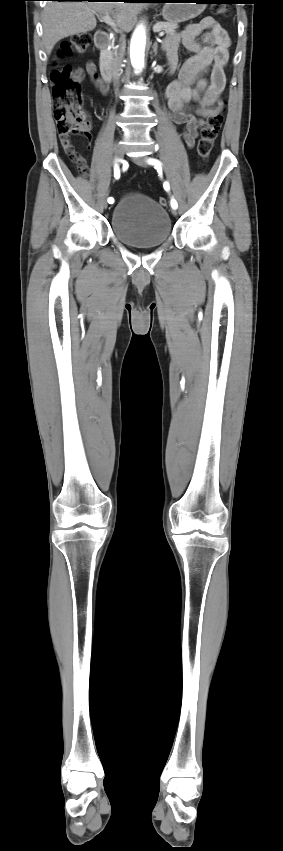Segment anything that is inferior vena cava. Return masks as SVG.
Masks as SVG:
<instances>
[{
	"label": "inferior vena cava",
	"mask_w": 283,
	"mask_h": 851,
	"mask_svg": "<svg viewBox=\"0 0 283 851\" xmlns=\"http://www.w3.org/2000/svg\"><path fill=\"white\" fill-rule=\"evenodd\" d=\"M121 70H122V69H121V62H120V59H119V58H115V59H114V62H113V65H112V77H113V82H114V84H115V86H116V89H117V87H118V85H119V80H120Z\"/></svg>",
	"instance_id": "inferior-vena-cava-1"
}]
</instances>
